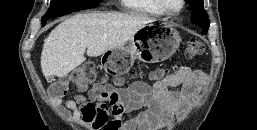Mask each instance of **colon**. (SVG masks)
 <instances>
[{"mask_svg": "<svg viewBox=\"0 0 257 130\" xmlns=\"http://www.w3.org/2000/svg\"><path fill=\"white\" fill-rule=\"evenodd\" d=\"M204 44L197 40L191 39L187 43L186 57L193 58L203 54ZM165 75L164 70L154 71L150 77L153 80H160ZM97 79V71L94 63L86 62L79 68L75 69L65 77L57 80L50 87V96L52 97H64L70 87H76L79 90H85L89 84ZM115 83L122 85L125 83L123 78H116Z\"/></svg>", "mask_w": 257, "mask_h": 130, "instance_id": "1", "label": "colon"}]
</instances>
